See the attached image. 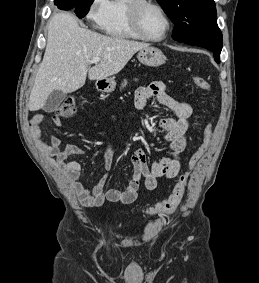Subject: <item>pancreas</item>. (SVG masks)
<instances>
[{
	"label": "pancreas",
	"instance_id": "cf45deb5",
	"mask_svg": "<svg viewBox=\"0 0 259 283\" xmlns=\"http://www.w3.org/2000/svg\"><path fill=\"white\" fill-rule=\"evenodd\" d=\"M126 85H127V80L125 79V80L123 81V83L121 84V88H124Z\"/></svg>",
	"mask_w": 259,
	"mask_h": 283
}]
</instances>
